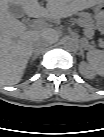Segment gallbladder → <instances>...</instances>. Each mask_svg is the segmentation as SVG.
<instances>
[{"mask_svg":"<svg viewBox=\"0 0 104 137\" xmlns=\"http://www.w3.org/2000/svg\"><path fill=\"white\" fill-rule=\"evenodd\" d=\"M8 10H9L10 14L13 15L14 17L22 18V21L25 23V25L27 27L30 26L31 21L29 20V18L25 17V13L21 6L15 5V4H10Z\"/></svg>","mask_w":104,"mask_h":137,"instance_id":"1","label":"gallbladder"}]
</instances>
